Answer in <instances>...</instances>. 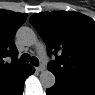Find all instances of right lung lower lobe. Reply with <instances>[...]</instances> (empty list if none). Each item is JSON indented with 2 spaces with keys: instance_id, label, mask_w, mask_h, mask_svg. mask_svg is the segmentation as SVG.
<instances>
[{
  "instance_id": "right-lung-lower-lobe-1",
  "label": "right lung lower lobe",
  "mask_w": 95,
  "mask_h": 95,
  "mask_svg": "<svg viewBox=\"0 0 95 95\" xmlns=\"http://www.w3.org/2000/svg\"><path fill=\"white\" fill-rule=\"evenodd\" d=\"M34 73V68L32 67L31 69H30V71H29V73H28V75H27V77L29 76V75H31V74H33ZM26 77V78H27ZM25 78V79H26ZM25 81V80H24ZM24 81L14 90V92L13 93H11L10 95H22V93H23V88H24Z\"/></svg>"
}]
</instances>
